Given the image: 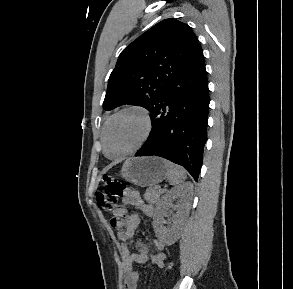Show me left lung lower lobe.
Listing matches in <instances>:
<instances>
[{
	"mask_svg": "<svg viewBox=\"0 0 293 289\" xmlns=\"http://www.w3.org/2000/svg\"><path fill=\"white\" fill-rule=\"evenodd\" d=\"M209 90L204 56L175 78L150 111L152 130L135 156H159L183 166L197 182L207 140Z\"/></svg>",
	"mask_w": 293,
	"mask_h": 289,
	"instance_id": "0a47b994",
	"label": "left lung lower lobe"
}]
</instances>
